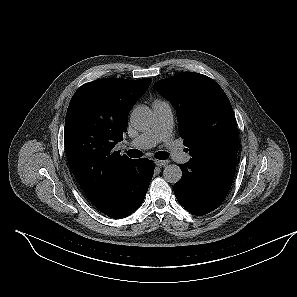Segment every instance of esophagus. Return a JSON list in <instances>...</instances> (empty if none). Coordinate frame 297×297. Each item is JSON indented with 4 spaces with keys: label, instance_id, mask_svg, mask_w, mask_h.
I'll return each instance as SVG.
<instances>
[{
    "label": "esophagus",
    "instance_id": "1",
    "mask_svg": "<svg viewBox=\"0 0 297 297\" xmlns=\"http://www.w3.org/2000/svg\"><path fill=\"white\" fill-rule=\"evenodd\" d=\"M154 163L158 167H165L166 165H168L169 160H154Z\"/></svg>",
    "mask_w": 297,
    "mask_h": 297
}]
</instances>
